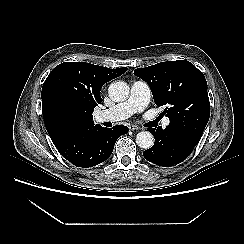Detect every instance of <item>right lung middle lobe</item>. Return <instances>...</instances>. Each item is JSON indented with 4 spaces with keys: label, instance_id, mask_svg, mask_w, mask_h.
I'll list each match as a JSON object with an SVG mask.
<instances>
[{
    "label": "right lung middle lobe",
    "instance_id": "right-lung-middle-lobe-1",
    "mask_svg": "<svg viewBox=\"0 0 244 244\" xmlns=\"http://www.w3.org/2000/svg\"><path fill=\"white\" fill-rule=\"evenodd\" d=\"M61 116L63 119L67 120L70 118V115L65 111V110H62L61 111Z\"/></svg>",
    "mask_w": 244,
    "mask_h": 244
}]
</instances>
